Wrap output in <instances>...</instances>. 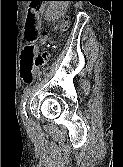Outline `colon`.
Wrapping results in <instances>:
<instances>
[{
  "label": "colon",
  "instance_id": "1",
  "mask_svg": "<svg viewBox=\"0 0 123 167\" xmlns=\"http://www.w3.org/2000/svg\"><path fill=\"white\" fill-rule=\"evenodd\" d=\"M42 5L43 4H39L35 7H32V10L27 14L25 21L24 38L26 46L24 47L21 54L20 75L23 81L28 83L32 81L34 67L42 65L48 57L46 52L37 54L35 47V41L39 36V27L42 13V7L40 6ZM64 27L65 22H62L59 28L64 29Z\"/></svg>",
  "mask_w": 123,
  "mask_h": 167
}]
</instances>
